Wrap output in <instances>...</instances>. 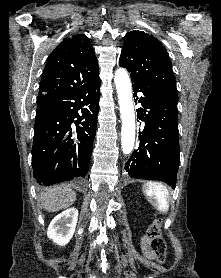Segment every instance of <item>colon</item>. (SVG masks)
I'll list each match as a JSON object with an SVG mask.
<instances>
[{
	"label": "colon",
	"mask_w": 221,
	"mask_h": 278,
	"mask_svg": "<svg viewBox=\"0 0 221 278\" xmlns=\"http://www.w3.org/2000/svg\"><path fill=\"white\" fill-rule=\"evenodd\" d=\"M149 250L154 258L160 262L166 260V244L161 234V221L156 219L147 230Z\"/></svg>",
	"instance_id": "colon-1"
}]
</instances>
